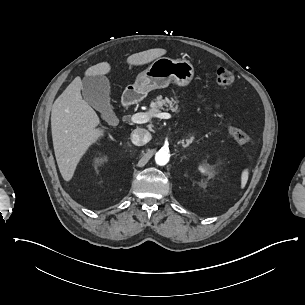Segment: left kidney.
<instances>
[{
	"instance_id": "obj_1",
	"label": "left kidney",
	"mask_w": 305,
	"mask_h": 305,
	"mask_svg": "<svg viewBox=\"0 0 305 305\" xmlns=\"http://www.w3.org/2000/svg\"><path fill=\"white\" fill-rule=\"evenodd\" d=\"M199 171L205 175H208L210 178L214 176V172L211 170V168L208 165H199Z\"/></svg>"
}]
</instances>
